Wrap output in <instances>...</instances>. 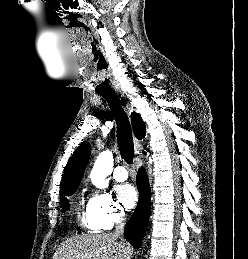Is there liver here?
<instances>
[{"label": "liver", "mask_w": 248, "mask_h": 259, "mask_svg": "<svg viewBox=\"0 0 248 259\" xmlns=\"http://www.w3.org/2000/svg\"><path fill=\"white\" fill-rule=\"evenodd\" d=\"M129 243L113 234H85L63 242L52 259H130Z\"/></svg>", "instance_id": "1"}]
</instances>
